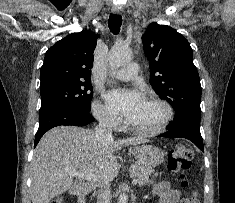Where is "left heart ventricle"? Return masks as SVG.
Wrapping results in <instances>:
<instances>
[{"label":"left heart ventricle","instance_id":"left-heart-ventricle-1","mask_svg":"<svg viewBox=\"0 0 235 203\" xmlns=\"http://www.w3.org/2000/svg\"><path fill=\"white\" fill-rule=\"evenodd\" d=\"M162 117V107L146 100L138 113L129 122L139 128H152L161 121Z\"/></svg>","mask_w":235,"mask_h":203}]
</instances>
